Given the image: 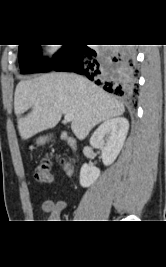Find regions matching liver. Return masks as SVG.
Here are the masks:
<instances>
[{
	"label": "liver",
	"mask_w": 166,
	"mask_h": 267,
	"mask_svg": "<svg viewBox=\"0 0 166 267\" xmlns=\"http://www.w3.org/2000/svg\"><path fill=\"white\" fill-rule=\"evenodd\" d=\"M32 109L26 116L27 110ZM21 138L55 127L63 114L71 113L73 133L84 139L97 124L120 116L124 105L84 77L49 73L18 83L14 97Z\"/></svg>",
	"instance_id": "6515ba94"
}]
</instances>
